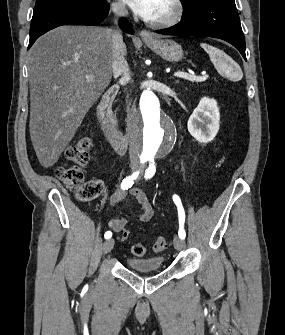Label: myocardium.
I'll return each mask as SVG.
<instances>
[{
  "label": "myocardium",
  "instance_id": "obj_1",
  "mask_svg": "<svg viewBox=\"0 0 285 335\" xmlns=\"http://www.w3.org/2000/svg\"><path fill=\"white\" fill-rule=\"evenodd\" d=\"M167 14L160 20L152 22L155 28H166L177 23L183 16L184 8L182 1H167Z\"/></svg>",
  "mask_w": 285,
  "mask_h": 335
}]
</instances>
